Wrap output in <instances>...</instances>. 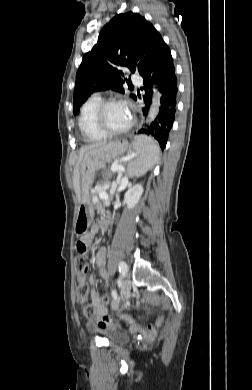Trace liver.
<instances>
[{
    "label": "liver",
    "mask_w": 252,
    "mask_h": 390,
    "mask_svg": "<svg viewBox=\"0 0 252 390\" xmlns=\"http://www.w3.org/2000/svg\"><path fill=\"white\" fill-rule=\"evenodd\" d=\"M108 144L102 142V143H95V144H91L89 146H85L84 148H82L80 150V155H79V161H78V164L75 168V172H74V179H73V184H74V189H75V192L78 196H80V173H79V164L80 162L82 161L85 153L89 150H93V149H96V148H101V147H104V146H107Z\"/></svg>",
    "instance_id": "liver-1"
}]
</instances>
